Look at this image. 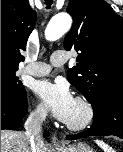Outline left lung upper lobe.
Listing matches in <instances>:
<instances>
[{
    "mask_svg": "<svg viewBox=\"0 0 123 152\" xmlns=\"http://www.w3.org/2000/svg\"><path fill=\"white\" fill-rule=\"evenodd\" d=\"M73 26L64 40L78 52L68 81L94 106L110 94H123V17L104 0H70Z\"/></svg>",
    "mask_w": 123,
    "mask_h": 152,
    "instance_id": "left-lung-upper-lobe-1",
    "label": "left lung upper lobe"
}]
</instances>
